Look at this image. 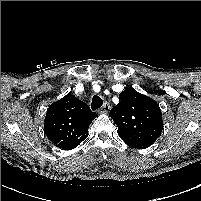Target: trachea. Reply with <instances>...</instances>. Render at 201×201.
I'll return each instance as SVG.
<instances>
[{"instance_id": "3493384b", "label": "trachea", "mask_w": 201, "mask_h": 201, "mask_svg": "<svg viewBox=\"0 0 201 201\" xmlns=\"http://www.w3.org/2000/svg\"><path fill=\"white\" fill-rule=\"evenodd\" d=\"M103 105V100L100 96L94 95L91 102V108L93 111L99 109Z\"/></svg>"}]
</instances>
